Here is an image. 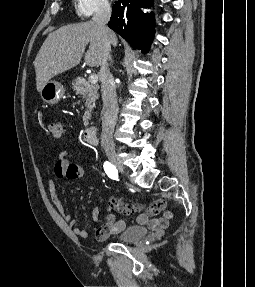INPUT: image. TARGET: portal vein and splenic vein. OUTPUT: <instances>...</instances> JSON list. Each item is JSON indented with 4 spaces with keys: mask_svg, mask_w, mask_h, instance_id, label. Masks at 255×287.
<instances>
[{
    "mask_svg": "<svg viewBox=\"0 0 255 287\" xmlns=\"http://www.w3.org/2000/svg\"><path fill=\"white\" fill-rule=\"evenodd\" d=\"M89 82H91V84H96V82H98V76H96V74H91V76H89Z\"/></svg>",
    "mask_w": 255,
    "mask_h": 287,
    "instance_id": "1",
    "label": "portal vein and splenic vein"
}]
</instances>
